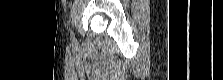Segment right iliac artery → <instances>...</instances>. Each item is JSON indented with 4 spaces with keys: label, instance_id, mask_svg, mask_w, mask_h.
I'll return each instance as SVG.
<instances>
[{
    "label": "right iliac artery",
    "instance_id": "right-iliac-artery-1",
    "mask_svg": "<svg viewBox=\"0 0 223 80\" xmlns=\"http://www.w3.org/2000/svg\"><path fill=\"white\" fill-rule=\"evenodd\" d=\"M72 41L75 42V38L72 36Z\"/></svg>",
    "mask_w": 223,
    "mask_h": 80
}]
</instances>
